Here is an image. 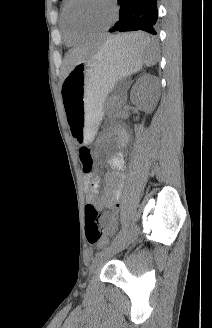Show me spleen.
Instances as JSON below:
<instances>
[{"label":"spleen","instance_id":"1","mask_svg":"<svg viewBox=\"0 0 212 328\" xmlns=\"http://www.w3.org/2000/svg\"><path fill=\"white\" fill-rule=\"evenodd\" d=\"M148 35L143 32H136L130 34L116 35L114 36L115 41L121 45L123 48H128L132 50H141L145 52L144 63L147 66H153L156 63L158 48L156 45L151 46H136L130 48V44H139L145 40H148Z\"/></svg>","mask_w":212,"mask_h":328}]
</instances>
